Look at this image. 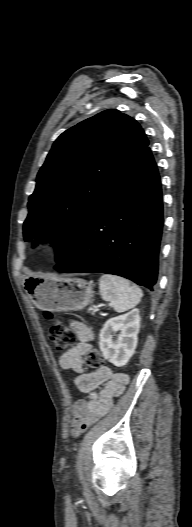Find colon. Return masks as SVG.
<instances>
[{"mask_svg": "<svg viewBox=\"0 0 192 527\" xmlns=\"http://www.w3.org/2000/svg\"><path fill=\"white\" fill-rule=\"evenodd\" d=\"M46 319L51 320L52 314L45 312ZM48 336L57 350H64L76 343V332L60 321H54L48 330ZM87 369L97 372L103 368V358L97 349L89 350L84 357Z\"/></svg>", "mask_w": 192, "mask_h": 527, "instance_id": "5ec220e1", "label": "colon"}]
</instances>
